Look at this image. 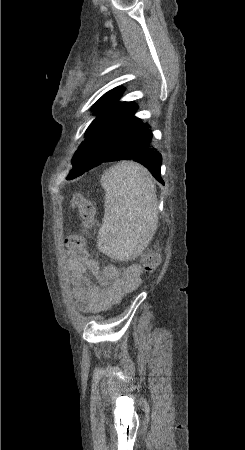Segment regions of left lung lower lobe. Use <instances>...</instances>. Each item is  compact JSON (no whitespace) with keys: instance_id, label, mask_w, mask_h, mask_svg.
Here are the masks:
<instances>
[{"instance_id":"obj_1","label":"left lung lower lobe","mask_w":245,"mask_h":450,"mask_svg":"<svg viewBox=\"0 0 245 450\" xmlns=\"http://www.w3.org/2000/svg\"><path fill=\"white\" fill-rule=\"evenodd\" d=\"M153 134L149 129V125L143 123L138 134L129 140L122 148H105V146H82L79 150L81 155L87 157L89 160L94 158L96 155L100 157V163L110 162L116 160H134L143 164L152 173L157 181L164 184L161 178V162L162 157L159 151L152 145ZM100 152V153H99ZM97 164V165H98ZM95 165V166H97ZM93 168V167H92ZM91 169V168H90ZM89 170V169H88ZM83 174V173H82ZM81 174L77 175L80 176ZM75 176V177H77ZM72 177L70 179H73ZM69 180V179H68Z\"/></svg>"}]
</instances>
